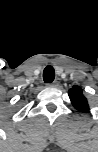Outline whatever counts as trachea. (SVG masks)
<instances>
[{"label":"trachea","instance_id":"1","mask_svg":"<svg viewBox=\"0 0 98 152\" xmlns=\"http://www.w3.org/2000/svg\"><path fill=\"white\" fill-rule=\"evenodd\" d=\"M55 78V71L52 66H47L43 71V79L46 83H52Z\"/></svg>","mask_w":98,"mask_h":152}]
</instances>
